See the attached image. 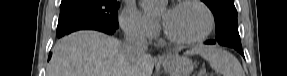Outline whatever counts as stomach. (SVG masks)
<instances>
[{
    "instance_id": "stomach-1",
    "label": "stomach",
    "mask_w": 287,
    "mask_h": 76,
    "mask_svg": "<svg viewBox=\"0 0 287 76\" xmlns=\"http://www.w3.org/2000/svg\"><path fill=\"white\" fill-rule=\"evenodd\" d=\"M163 68L168 76H190L194 64L186 56L169 55L162 61Z\"/></svg>"
}]
</instances>
